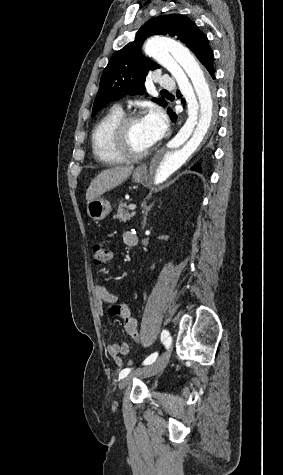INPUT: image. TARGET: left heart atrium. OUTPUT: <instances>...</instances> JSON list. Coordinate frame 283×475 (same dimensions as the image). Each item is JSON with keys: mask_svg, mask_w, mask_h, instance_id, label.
<instances>
[{"mask_svg": "<svg viewBox=\"0 0 283 475\" xmlns=\"http://www.w3.org/2000/svg\"><path fill=\"white\" fill-rule=\"evenodd\" d=\"M144 121L149 128V137L155 143L159 141L167 130V118L164 112L157 106H152L146 114Z\"/></svg>", "mask_w": 283, "mask_h": 475, "instance_id": "obj_1", "label": "left heart atrium"}]
</instances>
